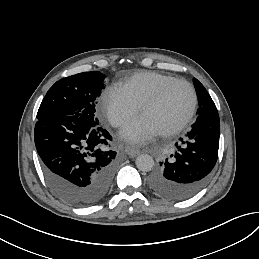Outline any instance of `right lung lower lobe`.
I'll list each match as a JSON object with an SVG mask.
<instances>
[{"mask_svg":"<svg viewBox=\"0 0 259 259\" xmlns=\"http://www.w3.org/2000/svg\"><path fill=\"white\" fill-rule=\"evenodd\" d=\"M35 146L44 175L54 193L78 207L93 205L108 193L115 173L111 135L99 123L74 115L38 120Z\"/></svg>","mask_w":259,"mask_h":259,"instance_id":"1","label":"right lung lower lobe"}]
</instances>
